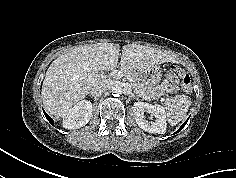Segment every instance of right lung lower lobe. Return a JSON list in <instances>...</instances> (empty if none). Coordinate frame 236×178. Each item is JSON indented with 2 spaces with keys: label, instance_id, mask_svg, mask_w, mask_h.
Returning <instances> with one entry per match:
<instances>
[{
  "label": "right lung lower lobe",
  "instance_id": "right-lung-lower-lobe-1",
  "mask_svg": "<svg viewBox=\"0 0 236 178\" xmlns=\"http://www.w3.org/2000/svg\"><path fill=\"white\" fill-rule=\"evenodd\" d=\"M46 118L48 119V121L53 125V120L44 112Z\"/></svg>",
  "mask_w": 236,
  "mask_h": 178
}]
</instances>
